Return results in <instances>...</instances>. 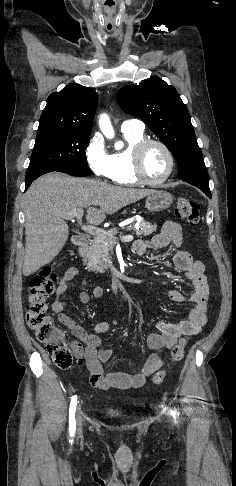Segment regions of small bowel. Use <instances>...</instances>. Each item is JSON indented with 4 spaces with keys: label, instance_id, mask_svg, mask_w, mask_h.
<instances>
[{
    "label": "small bowel",
    "instance_id": "small-bowel-1",
    "mask_svg": "<svg viewBox=\"0 0 236 486\" xmlns=\"http://www.w3.org/2000/svg\"><path fill=\"white\" fill-rule=\"evenodd\" d=\"M173 244L180 247L182 244L181 226L174 221H167L163 224L161 231L150 240H138L133 245L137 254H142L151 248H162ZM175 266L185 273L186 278L192 281L193 293L186 297L179 290H170L166 295L174 302L190 301L193 307L190 309L188 318L178 322L160 321L157 324V332L148 336L147 345L152 353L135 373L104 372L103 364L112 356V349L101 348L102 340L99 334L108 332L117 321H102L95 324L93 332H88L70 316L64 313L66 302L63 296L69 290L70 281L77 275L78 270L74 267L68 268L61 277L55 299L52 302V311L57 315L58 321L66 326L69 331L80 341L72 342L74 355L79 366L85 364L89 370V382L92 387L101 390L108 389H129L139 388L144 385L146 379L167 363V357L161 356V350L172 349L177 339L182 335H195L199 333L205 324L207 317V304L210 297V288L204 274V264L194 260L191 254L185 250H178L173 258ZM84 284V283H83ZM94 296H102L104 289L95 288L92 291ZM90 299L88 291L80 293V301L87 304Z\"/></svg>",
    "mask_w": 236,
    "mask_h": 486
}]
</instances>
